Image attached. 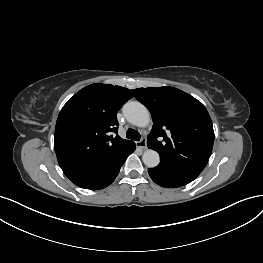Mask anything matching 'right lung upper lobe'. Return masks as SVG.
Segmentation results:
<instances>
[{
    "label": "right lung upper lobe",
    "mask_w": 263,
    "mask_h": 263,
    "mask_svg": "<svg viewBox=\"0 0 263 263\" xmlns=\"http://www.w3.org/2000/svg\"><path fill=\"white\" fill-rule=\"evenodd\" d=\"M133 97L129 89L91 84L62 108L55 127L54 148L67 177L94 170L123 153L134 142L117 133V112Z\"/></svg>",
    "instance_id": "obj_1"
}]
</instances>
